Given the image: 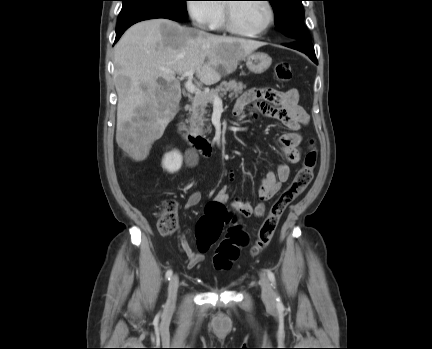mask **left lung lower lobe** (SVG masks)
<instances>
[{
	"label": "left lung lower lobe",
	"mask_w": 432,
	"mask_h": 349,
	"mask_svg": "<svg viewBox=\"0 0 432 349\" xmlns=\"http://www.w3.org/2000/svg\"><path fill=\"white\" fill-rule=\"evenodd\" d=\"M285 46L307 54L312 61L318 64L311 41L293 40L292 43L285 44Z\"/></svg>",
	"instance_id": "1"
}]
</instances>
